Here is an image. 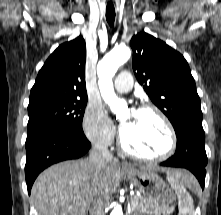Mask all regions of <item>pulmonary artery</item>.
Listing matches in <instances>:
<instances>
[{
	"label": "pulmonary artery",
	"instance_id": "pulmonary-artery-1",
	"mask_svg": "<svg viewBox=\"0 0 221 215\" xmlns=\"http://www.w3.org/2000/svg\"><path fill=\"white\" fill-rule=\"evenodd\" d=\"M133 79L128 71H121L115 81L114 87L118 92H128L132 89Z\"/></svg>",
	"mask_w": 221,
	"mask_h": 215
}]
</instances>
